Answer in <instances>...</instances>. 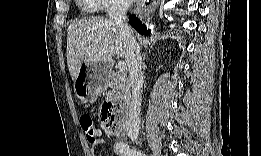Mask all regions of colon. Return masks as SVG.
I'll use <instances>...</instances> for the list:
<instances>
[{
	"label": "colon",
	"instance_id": "1",
	"mask_svg": "<svg viewBox=\"0 0 261 156\" xmlns=\"http://www.w3.org/2000/svg\"><path fill=\"white\" fill-rule=\"evenodd\" d=\"M101 123L107 131L113 134H121L123 132V127L120 123L119 110L116 106H113L108 102H105L102 106ZM80 124L85 132L87 141L90 144H96L101 136V127L88 114L81 116Z\"/></svg>",
	"mask_w": 261,
	"mask_h": 156
}]
</instances>
